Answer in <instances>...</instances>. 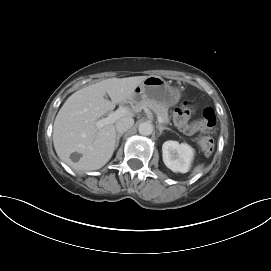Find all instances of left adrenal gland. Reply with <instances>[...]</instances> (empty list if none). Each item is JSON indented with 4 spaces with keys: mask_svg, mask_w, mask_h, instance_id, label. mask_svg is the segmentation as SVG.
Here are the masks:
<instances>
[{
    "mask_svg": "<svg viewBox=\"0 0 271 271\" xmlns=\"http://www.w3.org/2000/svg\"><path fill=\"white\" fill-rule=\"evenodd\" d=\"M157 128L159 130V135L162 134L163 130H170L169 128H166L164 126H161L160 124L157 125Z\"/></svg>",
    "mask_w": 271,
    "mask_h": 271,
    "instance_id": "1",
    "label": "left adrenal gland"
}]
</instances>
